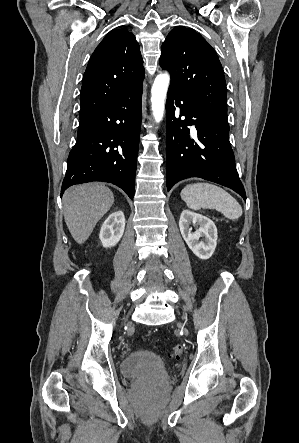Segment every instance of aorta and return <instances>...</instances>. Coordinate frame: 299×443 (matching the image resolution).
Returning a JSON list of instances; mask_svg holds the SVG:
<instances>
[{
	"label": "aorta",
	"mask_w": 299,
	"mask_h": 443,
	"mask_svg": "<svg viewBox=\"0 0 299 443\" xmlns=\"http://www.w3.org/2000/svg\"><path fill=\"white\" fill-rule=\"evenodd\" d=\"M170 83V76L162 73L156 76L151 89V109L155 121L158 123L164 115L166 94Z\"/></svg>",
	"instance_id": "aorta-1"
}]
</instances>
